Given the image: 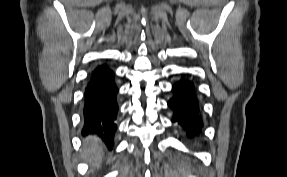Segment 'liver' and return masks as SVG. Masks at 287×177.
I'll list each match as a JSON object with an SVG mask.
<instances>
[{
    "mask_svg": "<svg viewBox=\"0 0 287 177\" xmlns=\"http://www.w3.org/2000/svg\"><path fill=\"white\" fill-rule=\"evenodd\" d=\"M103 146L101 140L96 136L85 139L83 158L85 161L98 165L103 158Z\"/></svg>",
    "mask_w": 287,
    "mask_h": 177,
    "instance_id": "obj_1",
    "label": "liver"
}]
</instances>
